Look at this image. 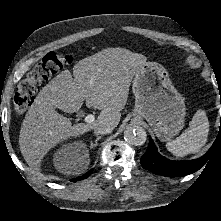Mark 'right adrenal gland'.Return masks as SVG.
I'll return each mask as SVG.
<instances>
[{
	"label": "right adrenal gland",
	"instance_id": "1",
	"mask_svg": "<svg viewBox=\"0 0 221 221\" xmlns=\"http://www.w3.org/2000/svg\"><path fill=\"white\" fill-rule=\"evenodd\" d=\"M100 139H101V136H98V137L96 138V140L94 141V143L91 142L90 148H93V146H97V145H98V141H99Z\"/></svg>",
	"mask_w": 221,
	"mask_h": 221
}]
</instances>
